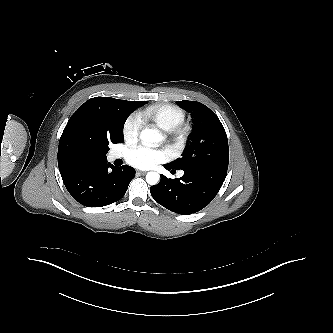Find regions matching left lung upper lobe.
Instances as JSON below:
<instances>
[{
  "label": "left lung upper lobe",
  "instance_id": "1",
  "mask_svg": "<svg viewBox=\"0 0 333 333\" xmlns=\"http://www.w3.org/2000/svg\"><path fill=\"white\" fill-rule=\"evenodd\" d=\"M177 105L192 115L193 139L181 158L167 165L175 170L212 167L227 170L229 147L225 129L216 114L196 101H177Z\"/></svg>",
  "mask_w": 333,
  "mask_h": 333
}]
</instances>
